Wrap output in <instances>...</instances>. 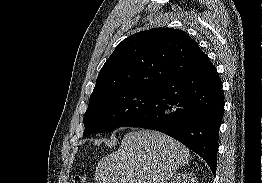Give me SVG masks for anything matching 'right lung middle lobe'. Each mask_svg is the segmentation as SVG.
<instances>
[{"label": "right lung middle lobe", "instance_id": "right-lung-middle-lobe-1", "mask_svg": "<svg viewBox=\"0 0 262 183\" xmlns=\"http://www.w3.org/2000/svg\"><path fill=\"white\" fill-rule=\"evenodd\" d=\"M157 89L131 88L90 99L84 115V136L123 127L152 102Z\"/></svg>", "mask_w": 262, "mask_h": 183}]
</instances>
